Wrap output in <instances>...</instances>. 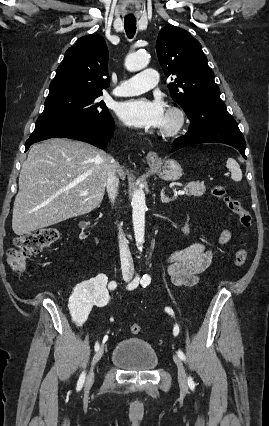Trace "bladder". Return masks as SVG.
<instances>
[{"label": "bladder", "instance_id": "31cf9c89", "mask_svg": "<svg viewBox=\"0 0 269 426\" xmlns=\"http://www.w3.org/2000/svg\"><path fill=\"white\" fill-rule=\"evenodd\" d=\"M111 362L125 372H152L159 364V358L153 347L145 340L126 338L113 348Z\"/></svg>", "mask_w": 269, "mask_h": 426}]
</instances>
